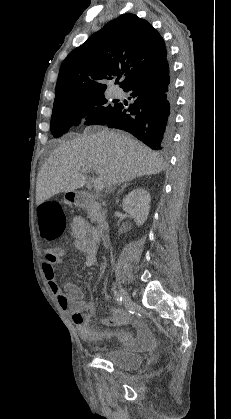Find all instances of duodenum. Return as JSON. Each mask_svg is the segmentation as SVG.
<instances>
[{"label":"duodenum","instance_id":"obj_1","mask_svg":"<svg viewBox=\"0 0 231 419\" xmlns=\"http://www.w3.org/2000/svg\"><path fill=\"white\" fill-rule=\"evenodd\" d=\"M75 202L79 207L94 206L97 204L96 199L88 193H77L75 196ZM98 236H100L104 242L108 241L110 226L105 218H99L97 221Z\"/></svg>","mask_w":231,"mask_h":419}]
</instances>
